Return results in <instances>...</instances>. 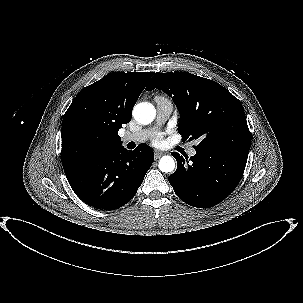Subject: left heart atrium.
I'll return each instance as SVG.
<instances>
[{
	"label": "left heart atrium",
	"instance_id": "1",
	"mask_svg": "<svg viewBox=\"0 0 303 303\" xmlns=\"http://www.w3.org/2000/svg\"><path fill=\"white\" fill-rule=\"evenodd\" d=\"M162 139H163V134L162 133H156V134H154L152 140H153V143L155 145H159V144L162 143Z\"/></svg>",
	"mask_w": 303,
	"mask_h": 303
}]
</instances>
